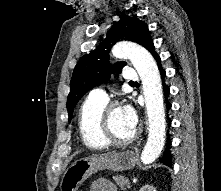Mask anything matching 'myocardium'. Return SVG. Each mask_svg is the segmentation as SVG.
Returning <instances> with one entry per match:
<instances>
[{
	"label": "myocardium",
	"instance_id": "myocardium-1",
	"mask_svg": "<svg viewBox=\"0 0 221 191\" xmlns=\"http://www.w3.org/2000/svg\"><path fill=\"white\" fill-rule=\"evenodd\" d=\"M119 107V103L115 101L105 106L102 114V136L110 145L123 146L132 143L137 137V132L134 131L128 138H120L114 133L111 126V116Z\"/></svg>",
	"mask_w": 221,
	"mask_h": 191
}]
</instances>
